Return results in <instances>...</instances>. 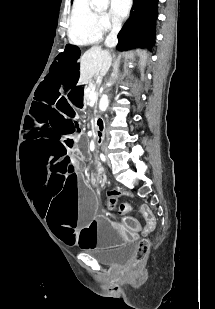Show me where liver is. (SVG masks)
<instances>
[{
	"label": "liver",
	"mask_w": 215,
	"mask_h": 309,
	"mask_svg": "<svg viewBox=\"0 0 215 309\" xmlns=\"http://www.w3.org/2000/svg\"><path fill=\"white\" fill-rule=\"evenodd\" d=\"M112 62L109 50H102L101 46H91L80 58V78L78 84H87L95 74L105 76Z\"/></svg>",
	"instance_id": "6515ba94"
}]
</instances>
